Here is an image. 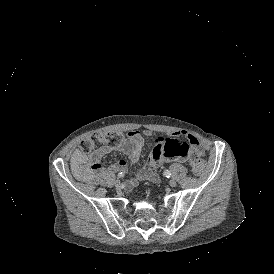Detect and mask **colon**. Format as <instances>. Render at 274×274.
<instances>
[{"label":"colon","instance_id":"obj_1","mask_svg":"<svg viewBox=\"0 0 274 274\" xmlns=\"http://www.w3.org/2000/svg\"><path fill=\"white\" fill-rule=\"evenodd\" d=\"M118 134L113 132H94L81 141V148L86 154H96L104 146V143L108 141L113 143L117 140ZM188 161L196 166L198 172H205L207 170L206 154L199 151H191L188 156Z\"/></svg>","mask_w":274,"mask_h":274}]
</instances>
